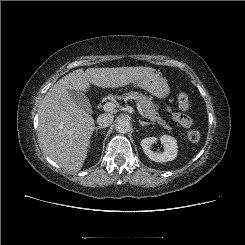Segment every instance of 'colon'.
<instances>
[{
	"label": "colon",
	"mask_w": 245,
	"mask_h": 245,
	"mask_svg": "<svg viewBox=\"0 0 245 245\" xmlns=\"http://www.w3.org/2000/svg\"><path fill=\"white\" fill-rule=\"evenodd\" d=\"M179 108L183 111H188L191 108L190 98L187 93L182 92L178 96ZM187 138L190 142H198L201 138V134L198 130L193 129L188 132Z\"/></svg>",
	"instance_id": "obj_1"
}]
</instances>
